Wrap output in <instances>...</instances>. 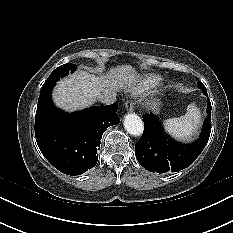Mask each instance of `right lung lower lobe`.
Instances as JSON below:
<instances>
[{
	"label": "right lung lower lobe",
	"mask_w": 233,
	"mask_h": 233,
	"mask_svg": "<svg viewBox=\"0 0 233 233\" xmlns=\"http://www.w3.org/2000/svg\"><path fill=\"white\" fill-rule=\"evenodd\" d=\"M117 105L67 114L49 105L36 111L35 137L44 157L60 172L80 175L98 161L104 131L120 122Z\"/></svg>",
	"instance_id": "obj_1"
}]
</instances>
